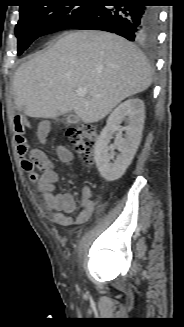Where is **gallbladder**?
Masks as SVG:
<instances>
[{"label":"gallbladder","mask_w":184,"mask_h":327,"mask_svg":"<svg viewBox=\"0 0 184 327\" xmlns=\"http://www.w3.org/2000/svg\"><path fill=\"white\" fill-rule=\"evenodd\" d=\"M78 121H79V117H78L76 114H74V113H70V114H68L67 117H66V122H67L68 124H75V123H77Z\"/></svg>","instance_id":"1"}]
</instances>
